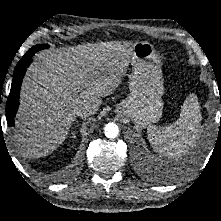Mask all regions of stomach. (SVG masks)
I'll use <instances>...</instances> for the list:
<instances>
[{
    "label": "stomach",
    "mask_w": 221,
    "mask_h": 221,
    "mask_svg": "<svg viewBox=\"0 0 221 221\" xmlns=\"http://www.w3.org/2000/svg\"><path fill=\"white\" fill-rule=\"evenodd\" d=\"M130 95L115 112L127 116L138 127L157 122L163 112L164 94L160 56L149 42H136L131 56Z\"/></svg>",
    "instance_id": "stomach-1"
}]
</instances>
